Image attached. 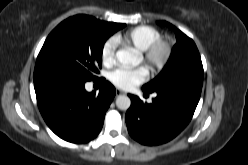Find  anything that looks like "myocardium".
Segmentation results:
<instances>
[{"mask_svg": "<svg viewBox=\"0 0 248 165\" xmlns=\"http://www.w3.org/2000/svg\"><path fill=\"white\" fill-rule=\"evenodd\" d=\"M173 53V44L165 39L159 38L142 51L143 61L148 67L157 72L163 69L169 62Z\"/></svg>", "mask_w": 248, "mask_h": 165, "instance_id": "myocardium-1", "label": "myocardium"}]
</instances>
